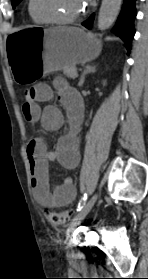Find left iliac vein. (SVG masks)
<instances>
[{
	"label": "left iliac vein",
	"instance_id": "obj_1",
	"mask_svg": "<svg viewBox=\"0 0 148 279\" xmlns=\"http://www.w3.org/2000/svg\"><path fill=\"white\" fill-rule=\"evenodd\" d=\"M99 193H95L89 201L86 203V205L82 208V210L75 216V218L71 221L68 233L74 230V228L86 217V215L89 213L93 205L95 204Z\"/></svg>",
	"mask_w": 148,
	"mask_h": 279
}]
</instances>
